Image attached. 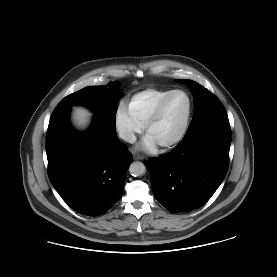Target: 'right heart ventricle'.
Returning <instances> with one entry per match:
<instances>
[{"instance_id":"obj_1","label":"right heart ventricle","mask_w":277,"mask_h":277,"mask_svg":"<svg viewBox=\"0 0 277 277\" xmlns=\"http://www.w3.org/2000/svg\"><path fill=\"white\" fill-rule=\"evenodd\" d=\"M172 90L170 88H148L134 94L128 101L129 112L138 123L144 126L160 100Z\"/></svg>"}]
</instances>
